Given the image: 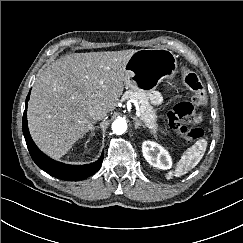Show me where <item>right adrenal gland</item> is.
I'll return each instance as SVG.
<instances>
[{
	"label": "right adrenal gland",
	"mask_w": 243,
	"mask_h": 243,
	"mask_svg": "<svg viewBox=\"0 0 243 243\" xmlns=\"http://www.w3.org/2000/svg\"><path fill=\"white\" fill-rule=\"evenodd\" d=\"M95 123H96V121H91V122L89 123L88 131H87V132H90V134H89V139H90V137H92V136L95 135V133H94L95 127L93 126V124H95ZM89 139H88V140H89Z\"/></svg>",
	"instance_id": "1"
}]
</instances>
